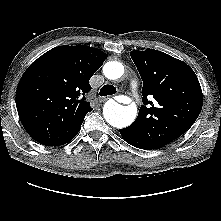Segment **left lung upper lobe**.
Here are the masks:
<instances>
[{
    "label": "left lung upper lobe",
    "mask_w": 221,
    "mask_h": 221,
    "mask_svg": "<svg viewBox=\"0 0 221 221\" xmlns=\"http://www.w3.org/2000/svg\"><path fill=\"white\" fill-rule=\"evenodd\" d=\"M130 56L143 81L144 103L129 126L134 133L133 146L159 149L195 122L203 105L202 90L196 74L183 61L154 49L132 51ZM148 95L156 103L149 101Z\"/></svg>",
    "instance_id": "obj_1"
}]
</instances>
